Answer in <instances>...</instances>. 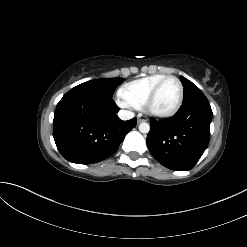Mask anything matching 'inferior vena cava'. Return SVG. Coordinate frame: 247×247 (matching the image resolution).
I'll return each instance as SVG.
<instances>
[{
	"mask_svg": "<svg viewBox=\"0 0 247 247\" xmlns=\"http://www.w3.org/2000/svg\"><path fill=\"white\" fill-rule=\"evenodd\" d=\"M118 116L121 120H129L134 117V113L128 110H120Z\"/></svg>",
	"mask_w": 247,
	"mask_h": 247,
	"instance_id": "inferior-vena-cava-1",
	"label": "inferior vena cava"
}]
</instances>
